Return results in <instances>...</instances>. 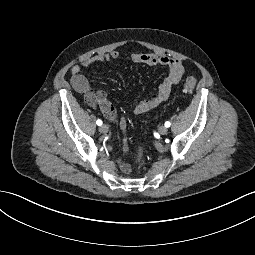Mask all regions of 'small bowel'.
<instances>
[{"label":"small bowel","instance_id":"1","mask_svg":"<svg viewBox=\"0 0 255 255\" xmlns=\"http://www.w3.org/2000/svg\"><path fill=\"white\" fill-rule=\"evenodd\" d=\"M119 58L118 51H112L106 54H97L83 60L80 64L72 66L71 84L73 88L84 95L86 103L90 106L98 105L104 115L109 119L116 118V110L112 103L108 100L107 95L103 91H93L90 87L88 79L81 74L82 68H90L97 64H102L111 60H117ZM131 59L135 63H141L146 65H161L168 69V76L164 79L159 88L152 93L147 99L140 101L133 108L135 115L146 113L159 104L168 100L171 94L173 86L178 84L183 75L184 67L180 60L170 57L166 54L150 53V52H138L131 55ZM120 128L123 132V150L128 153L129 142L126 136L127 121L125 117L120 119ZM120 169L124 173H130L131 168L127 163L122 161L118 162Z\"/></svg>","mask_w":255,"mask_h":255}]
</instances>
